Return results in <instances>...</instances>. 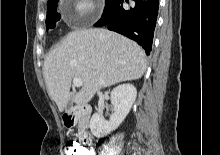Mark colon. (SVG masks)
<instances>
[{
    "instance_id": "5ec220e1",
    "label": "colon",
    "mask_w": 220,
    "mask_h": 155,
    "mask_svg": "<svg viewBox=\"0 0 220 155\" xmlns=\"http://www.w3.org/2000/svg\"><path fill=\"white\" fill-rule=\"evenodd\" d=\"M88 147V143L78 144L77 141H68L65 144V153L66 155H91L90 152H87Z\"/></svg>"
}]
</instances>
